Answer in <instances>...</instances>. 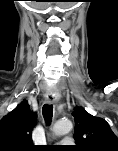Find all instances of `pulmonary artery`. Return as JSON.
Returning a JSON list of instances; mask_svg holds the SVG:
<instances>
[{"label": "pulmonary artery", "instance_id": "pulmonary-artery-1", "mask_svg": "<svg viewBox=\"0 0 118 151\" xmlns=\"http://www.w3.org/2000/svg\"><path fill=\"white\" fill-rule=\"evenodd\" d=\"M73 140L71 138H65L62 140L61 144H71Z\"/></svg>", "mask_w": 118, "mask_h": 151}]
</instances>
